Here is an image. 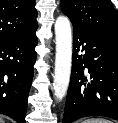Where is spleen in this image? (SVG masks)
<instances>
[{"instance_id": "1", "label": "spleen", "mask_w": 118, "mask_h": 123, "mask_svg": "<svg viewBox=\"0 0 118 123\" xmlns=\"http://www.w3.org/2000/svg\"><path fill=\"white\" fill-rule=\"evenodd\" d=\"M82 123H112V122L103 118H90L84 120Z\"/></svg>"}]
</instances>
